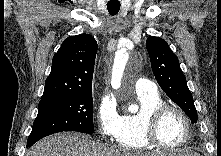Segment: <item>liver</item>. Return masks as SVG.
Masks as SVG:
<instances>
[{
    "mask_svg": "<svg viewBox=\"0 0 221 156\" xmlns=\"http://www.w3.org/2000/svg\"><path fill=\"white\" fill-rule=\"evenodd\" d=\"M27 156H151L116 146L95 143L86 135L63 132L37 142Z\"/></svg>",
    "mask_w": 221,
    "mask_h": 156,
    "instance_id": "liver-1",
    "label": "liver"
}]
</instances>
